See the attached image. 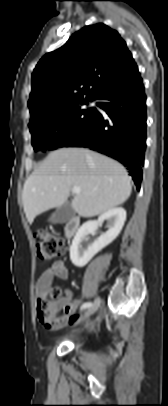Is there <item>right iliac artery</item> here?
I'll list each match as a JSON object with an SVG mask.
<instances>
[{
	"mask_svg": "<svg viewBox=\"0 0 168 406\" xmlns=\"http://www.w3.org/2000/svg\"><path fill=\"white\" fill-rule=\"evenodd\" d=\"M90 306H92V303L91 302H86V303L82 304L80 309L83 310V309L89 308Z\"/></svg>",
	"mask_w": 168,
	"mask_h": 406,
	"instance_id": "1",
	"label": "right iliac artery"
}]
</instances>
